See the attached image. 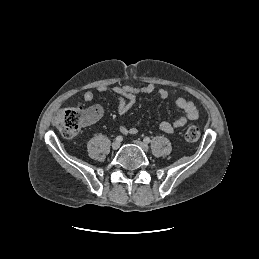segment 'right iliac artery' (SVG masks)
<instances>
[{
  "instance_id": "obj_1",
  "label": "right iliac artery",
  "mask_w": 259,
  "mask_h": 259,
  "mask_svg": "<svg viewBox=\"0 0 259 259\" xmlns=\"http://www.w3.org/2000/svg\"><path fill=\"white\" fill-rule=\"evenodd\" d=\"M122 140H123V137H122V136H117V137H116V141L121 142Z\"/></svg>"
}]
</instances>
